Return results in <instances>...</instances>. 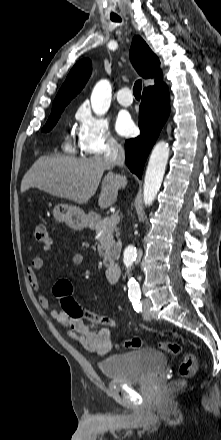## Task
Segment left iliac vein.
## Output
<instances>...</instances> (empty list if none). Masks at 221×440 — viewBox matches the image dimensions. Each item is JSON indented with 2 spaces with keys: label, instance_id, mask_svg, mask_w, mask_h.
<instances>
[{
  "label": "left iliac vein",
  "instance_id": "1",
  "mask_svg": "<svg viewBox=\"0 0 221 440\" xmlns=\"http://www.w3.org/2000/svg\"><path fill=\"white\" fill-rule=\"evenodd\" d=\"M142 305H143V318L145 320H150L151 319V315H150V312H149L150 300L149 299H144L142 301Z\"/></svg>",
  "mask_w": 221,
  "mask_h": 440
}]
</instances>
